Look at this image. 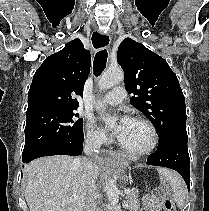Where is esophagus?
<instances>
[{"instance_id": "1", "label": "esophagus", "mask_w": 209, "mask_h": 211, "mask_svg": "<svg viewBox=\"0 0 209 211\" xmlns=\"http://www.w3.org/2000/svg\"><path fill=\"white\" fill-rule=\"evenodd\" d=\"M92 43L95 48L109 47L111 43V37L108 33L92 35ZM94 159H98V163H111V159H119V154H115V151H96Z\"/></svg>"}]
</instances>
